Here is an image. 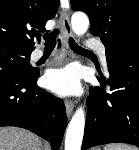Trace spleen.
Masks as SVG:
<instances>
[{
  "mask_svg": "<svg viewBox=\"0 0 139 150\" xmlns=\"http://www.w3.org/2000/svg\"><path fill=\"white\" fill-rule=\"evenodd\" d=\"M104 150H136V149L123 144H113L106 146Z\"/></svg>",
  "mask_w": 139,
  "mask_h": 150,
  "instance_id": "3e777b00",
  "label": "spleen"
}]
</instances>
